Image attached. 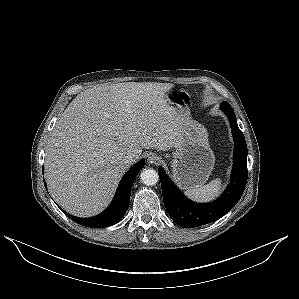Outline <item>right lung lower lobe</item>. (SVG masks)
Returning <instances> with one entry per match:
<instances>
[{
  "label": "right lung lower lobe",
  "mask_w": 299,
  "mask_h": 299,
  "mask_svg": "<svg viewBox=\"0 0 299 299\" xmlns=\"http://www.w3.org/2000/svg\"><path fill=\"white\" fill-rule=\"evenodd\" d=\"M144 162V159H141L123 176L111 205L100 215L91 218H79L65 214L76 223L90 228H103L117 224L129 207L131 187L135 176L144 166ZM44 185L46 187L45 181Z\"/></svg>",
  "instance_id": "98d812e1"
}]
</instances>
